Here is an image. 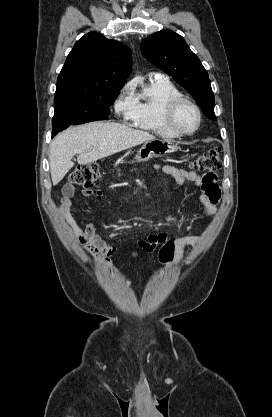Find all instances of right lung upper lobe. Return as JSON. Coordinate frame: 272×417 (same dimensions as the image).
<instances>
[{
  "instance_id": "1",
  "label": "right lung upper lobe",
  "mask_w": 272,
  "mask_h": 417,
  "mask_svg": "<svg viewBox=\"0 0 272 417\" xmlns=\"http://www.w3.org/2000/svg\"><path fill=\"white\" fill-rule=\"evenodd\" d=\"M132 57L119 41L90 32L76 42L58 76L55 97L122 88Z\"/></svg>"
}]
</instances>
